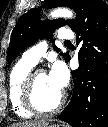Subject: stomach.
<instances>
[{
    "label": "stomach",
    "instance_id": "1",
    "mask_svg": "<svg viewBox=\"0 0 108 127\" xmlns=\"http://www.w3.org/2000/svg\"><path fill=\"white\" fill-rule=\"evenodd\" d=\"M46 127H69L67 124H47Z\"/></svg>",
    "mask_w": 108,
    "mask_h": 127
}]
</instances>
